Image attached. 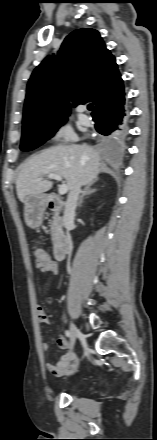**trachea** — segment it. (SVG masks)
Returning <instances> with one entry per match:
<instances>
[{"label":"trachea","mask_w":157,"mask_h":440,"mask_svg":"<svg viewBox=\"0 0 157 440\" xmlns=\"http://www.w3.org/2000/svg\"><path fill=\"white\" fill-rule=\"evenodd\" d=\"M92 108H93V105H92V104H89V105H88V109H89V110H92Z\"/></svg>","instance_id":"3493384b"}]
</instances>
